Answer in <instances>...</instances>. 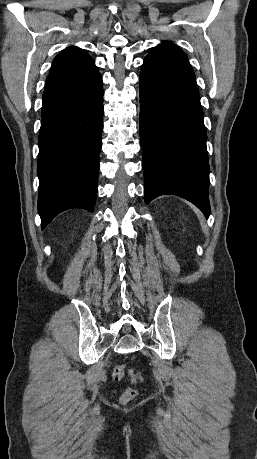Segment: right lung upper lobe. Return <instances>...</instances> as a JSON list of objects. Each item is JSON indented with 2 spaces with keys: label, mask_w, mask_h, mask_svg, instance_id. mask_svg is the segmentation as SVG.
Segmentation results:
<instances>
[{
  "label": "right lung upper lobe",
  "mask_w": 257,
  "mask_h": 459,
  "mask_svg": "<svg viewBox=\"0 0 257 459\" xmlns=\"http://www.w3.org/2000/svg\"><path fill=\"white\" fill-rule=\"evenodd\" d=\"M98 73L94 60L85 50L74 46L68 47L55 57L45 90L77 84Z\"/></svg>",
  "instance_id": "cb5924a9"
}]
</instances>
